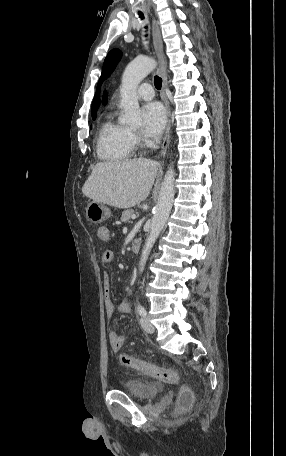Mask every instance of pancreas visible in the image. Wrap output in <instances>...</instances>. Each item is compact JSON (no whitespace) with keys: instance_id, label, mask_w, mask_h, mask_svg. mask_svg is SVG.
I'll return each mask as SVG.
<instances>
[{"instance_id":"pancreas-1","label":"pancreas","mask_w":286,"mask_h":456,"mask_svg":"<svg viewBox=\"0 0 286 456\" xmlns=\"http://www.w3.org/2000/svg\"><path fill=\"white\" fill-rule=\"evenodd\" d=\"M132 215H134V210L133 209H128L123 211L122 216H121V222H129V220L132 218Z\"/></svg>"}]
</instances>
